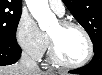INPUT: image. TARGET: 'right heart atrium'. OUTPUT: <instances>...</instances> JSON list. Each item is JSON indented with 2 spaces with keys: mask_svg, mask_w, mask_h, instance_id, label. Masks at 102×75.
I'll use <instances>...</instances> for the list:
<instances>
[{
  "mask_svg": "<svg viewBox=\"0 0 102 75\" xmlns=\"http://www.w3.org/2000/svg\"><path fill=\"white\" fill-rule=\"evenodd\" d=\"M15 34L19 45L33 59L39 60L44 56L48 46L47 36L30 15L20 17Z\"/></svg>",
  "mask_w": 102,
  "mask_h": 75,
  "instance_id": "right-heart-atrium-1",
  "label": "right heart atrium"
}]
</instances>
